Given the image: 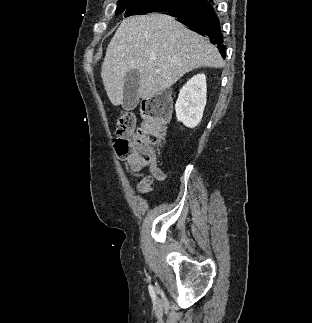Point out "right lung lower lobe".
<instances>
[{"label":"right lung lower lobe","mask_w":312,"mask_h":323,"mask_svg":"<svg viewBox=\"0 0 312 323\" xmlns=\"http://www.w3.org/2000/svg\"><path fill=\"white\" fill-rule=\"evenodd\" d=\"M167 14L177 18L179 22L198 34L208 36L210 42L217 45L223 58H225L226 49L223 45L224 36L221 29V19L217 5L213 0H190L183 6L167 12Z\"/></svg>","instance_id":"1"}]
</instances>
